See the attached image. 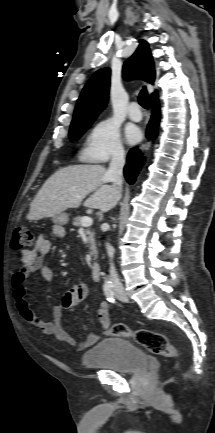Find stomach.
Returning a JSON list of instances; mask_svg holds the SVG:
<instances>
[{
    "label": "stomach",
    "instance_id": "0dacf381",
    "mask_svg": "<svg viewBox=\"0 0 215 433\" xmlns=\"http://www.w3.org/2000/svg\"><path fill=\"white\" fill-rule=\"evenodd\" d=\"M68 220H69V218H68V215L66 213H60V214L53 216V221L57 224H60V225L67 224Z\"/></svg>",
    "mask_w": 215,
    "mask_h": 433
}]
</instances>
